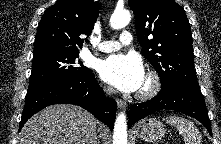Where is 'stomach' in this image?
<instances>
[{
    "instance_id": "0dacf381",
    "label": "stomach",
    "mask_w": 221,
    "mask_h": 144,
    "mask_svg": "<svg viewBox=\"0 0 221 144\" xmlns=\"http://www.w3.org/2000/svg\"><path fill=\"white\" fill-rule=\"evenodd\" d=\"M136 132L144 141L158 142L165 136L166 129L156 118H149L139 123Z\"/></svg>"
}]
</instances>
